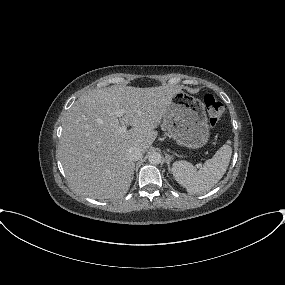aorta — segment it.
Returning <instances> with one entry per match:
<instances>
[{"label": "aorta", "mask_w": 285, "mask_h": 285, "mask_svg": "<svg viewBox=\"0 0 285 285\" xmlns=\"http://www.w3.org/2000/svg\"><path fill=\"white\" fill-rule=\"evenodd\" d=\"M148 159L151 164H159L162 161V156L158 152H152L148 156Z\"/></svg>", "instance_id": "obj_1"}]
</instances>
